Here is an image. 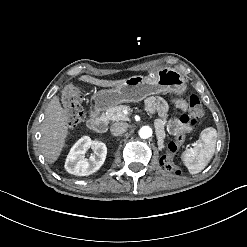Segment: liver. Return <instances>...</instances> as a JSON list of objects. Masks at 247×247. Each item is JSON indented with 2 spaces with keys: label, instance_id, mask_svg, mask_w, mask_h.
<instances>
[{
  "label": "liver",
  "instance_id": "6515ba94",
  "mask_svg": "<svg viewBox=\"0 0 247 247\" xmlns=\"http://www.w3.org/2000/svg\"><path fill=\"white\" fill-rule=\"evenodd\" d=\"M79 80L101 87H117L123 82V80H99L89 75H83ZM67 124V116L60 104L59 97L54 96L45 110V119L41 125L42 153L49 164L58 159L65 145V138L68 135Z\"/></svg>",
  "mask_w": 247,
  "mask_h": 247
}]
</instances>
